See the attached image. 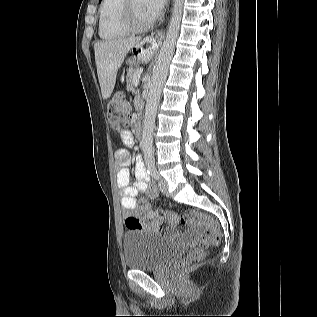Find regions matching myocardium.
I'll list each match as a JSON object with an SVG mask.
<instances>
[{
    "label": "myocardium",
    "mask_w": 317,
    "mask_h": 317,
    "mask_svg": "<svg viewBox=\"0 0 317 317\" xmlns=\"http://www.w3.org/2000/svg\"><path fill=\"white\" fill-rule=\"evenodd\" d=\"M120 20L122 25L129 31L133 33H140L149 30L154 25V19H151L145 23H138L135 20L132 0H122L120 6Z\"/></svg>",
    "instance_id": "obj_1"
}]
</instances>
